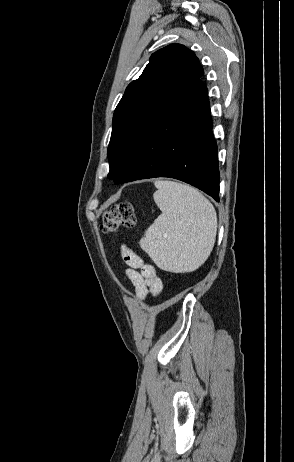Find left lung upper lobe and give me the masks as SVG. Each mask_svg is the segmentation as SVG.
Returning a JSON list of instances; mask_svg holds the SVG:
<instances>
[{"label":"left lung upper lobe","instance_id":"left-lung-upper-lobe-1","mask_svg":"<svg viewBox=\"0 0 294 462\" xmlns=\"http://www.w3.org/2000/svg\"><path fill=\"white\" fill-rule=\"evenodd\" d=\"M202 75L198 58L183 45L171 44L152 54L142 75L128 85L115 109L108 147L109 179L119 172L156 108L174 101L188 83Z\"/></svg>","mask_w":294,"mask_h":462}]
</instances>
